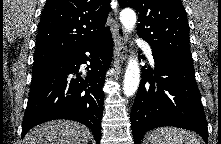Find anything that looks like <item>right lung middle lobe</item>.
I'll use <instances>...</instances> for the list:
<instances>
[{
    "label": "right lung middle lobe",
    "mask_w": 221,
    "mask_h": 144,
    "mask_svg": "<svg viewBox=\"0 0 221 144\" xmlns=\"http://www.w3.org/2000/svg\"><path fill=\"white\" fill-rule=\"evenodd\" d=\"M62 55L57 54H38L34 55V63L32 69H38L41 68L49 63H52L53 61L59 59Z\"/></svg>",
    "instance_id": "dd1d6c3e"
}]
</instances>
